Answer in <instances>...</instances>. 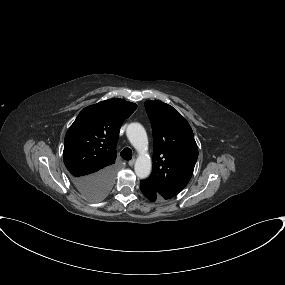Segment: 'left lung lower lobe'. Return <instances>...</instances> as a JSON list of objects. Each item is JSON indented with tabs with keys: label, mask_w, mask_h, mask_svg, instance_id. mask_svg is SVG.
<instances>
[{
	"label": "left lung lower lobe",
	"mask_w": 285,
	"mask_h": 285,
	"mask_svg": "<svg viewBox=\"0 0 285 285\" xmlns=\"http://www.w3.org/2000/svg\"><path fill=\"white\" fill-rule=\"evenodd\" d=\"M140 188L145 197L151 202H154L157 198H163L159 195L156 189L145 180L140 181Z\"/></svg>",
	"instance_id": "0a47b994"
}]
</instances>
